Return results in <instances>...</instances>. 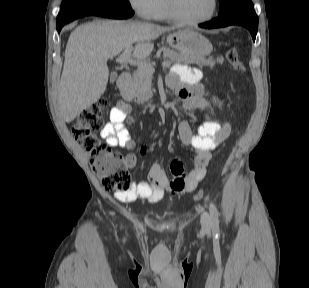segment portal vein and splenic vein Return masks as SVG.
I'll use <instances>...</instances> for the list:
<instances>
[{"label": "portal vein and splenic vein", "mask_w": 309, "mask_h": 288, "mask_svg": "<svg viewBox=\"0 0 309 288\" xmlns=\"http://www.w3.org/2000/svg\"><path fill=\"white\" fill-rule=\"evenodd\" d=\"M131 51L132 47H127L125 51L117 57L116 62L119 64H130V65H136L140 69H144L150 73H154V68L149 63L141 60V59H133L131 57ZM162 66H169V63L167 61H164L162 63Z\"/></svg>", "instance_id": "18ae733b"}]
</instances>
